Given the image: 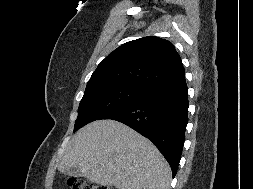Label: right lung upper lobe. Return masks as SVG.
<instances>
[{"label":"right lung upper lobe","instance_id":"1","mask_svg":"<svg viewBox=\"0 0 253 189\" xmlns=\"http://www.w3.org/2000/svg\"><path fill=\"white\" fill-rule=\"evenodd\" d=\"M185 79L181 58L171 42L155 36L127 42L97 67L85 91L127 86L149 91Z\"/></svg>","mask_w":253,"mask_h":189}]
</instances>
